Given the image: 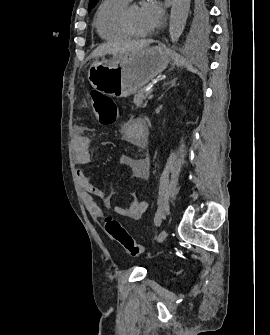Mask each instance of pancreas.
<instances>
[{
  "instance_id": "1",
  "label": "pancreas",
  "mask_w": 270,
  "mask_h": 335,
  "mask_svg": "<svg viewBox=\"0 0 270 335\" xmlns=\"http://www.w3.org/2000/svg\"><path fill=\"white\" fill-rule=\"evenodd\" d=\"M147 88H141V90H138L134 96L133 104L137 106V108H146L148 102L146 100L147 98Z\"/></svg>"
}]
</instances>
